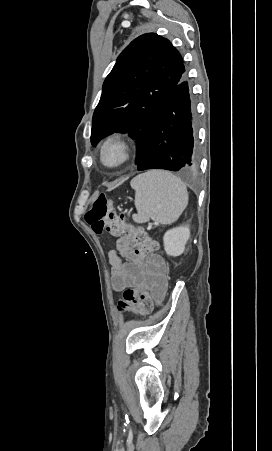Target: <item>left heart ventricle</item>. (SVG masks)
Instances as JSON below:
<instances>
[{"mask_svg": "<svg viewBox=\"0 0 272 451\" xmlns=\"http://www.w3.org/2000/svg\"><path fill=\"white\" fill-rule=\"evenodd\" d=\"M105 159L107 163L115 164L118 162L119 156L117 153L111 151L106 154Z\"/></svg>", "mask_w": 272, "mask_h": 451, "instance_id": "obj_1", "label": "left heart ventricle"}]
</instances>
